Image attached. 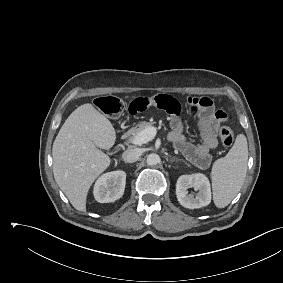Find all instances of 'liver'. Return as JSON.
<instances>
[{
    "label": "liver",
    "mask_w": 283,
    "mask_h": 283,
    "mask_svg": "<svg viewBox=\"0 0 283 283\" xmlns=\"http://www.w3.org/2000/svg\"><path fill=\"white\" fill-rule=\"evenodd\" d=\"M115 141L112 124L90 103L75 109L62 125L52 148L53 173L76 210L86 211L91 185L111 163L98 148L109 149Z\"/></svg>",
    "instance_id": "liver-1"
}]
</instances>
